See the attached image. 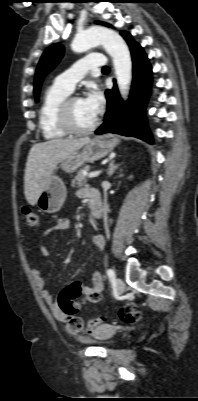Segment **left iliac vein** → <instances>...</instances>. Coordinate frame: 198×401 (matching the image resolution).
I'll list each match as a JSON object with an SVG mask.
<instances>
[{
	"label": "left iliac vein",
	"mask_w": 198,
	"mask_h": 401,
	"mask_svg": "<svg viewBox=\"0 0 198 401\" xmlns=\"http://www.w3.org/2000/svg\"><path fill=\"white\" fill-rule=\"evenodd\" d=\"M115 287H116V290H117V292L119 293V294H122L123 293V291H124V283H123V281L120 279V278H116L115 279Z\"/></svg>",
	"instance_id": "left-iliac-vein-1"
}]
</instances>
